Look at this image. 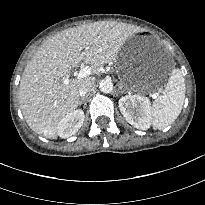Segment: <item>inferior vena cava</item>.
<instances>
[{"mask_svg": "<svg viewBox=\"0 0 205 205\" xmlns=\"http://www.w3.org/2000/svg\"><path fill=\"white\" fill-rule=\"evenodd\" d=\"M93 86H94L93 79L84 81L79 88V95L81 97H84L90 90H92Z\"/></svg>", "mask_w": 205, "mask_h": 205, "instance_id": "602c4592", "label": "inferior vena cava"}]
</instances>
